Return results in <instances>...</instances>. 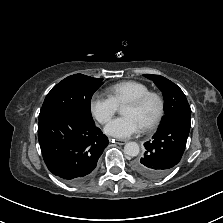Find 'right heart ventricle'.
<instances>
[{"label": "right heart ventricle", "mask_w": 223, "mask_h": 223, "mask_svg": "<svg viewBox=\"0 0 223 223\" xmlns=\"http://www.w3.org/2000/svg\"><path fill=\"white\" fill-rule=\"evenodd\" d=\"M149 90V87L142 82L128 80L111 85L107 92L118 106H122Z\"/></svg>", "instance_id": "1"}]
</instances>
